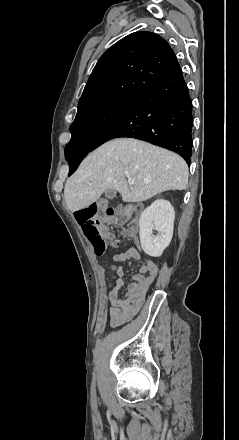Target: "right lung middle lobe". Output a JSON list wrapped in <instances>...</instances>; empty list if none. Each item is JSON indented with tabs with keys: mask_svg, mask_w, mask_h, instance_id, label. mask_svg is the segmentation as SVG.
<instances>
[{
	"mask_svg": "<svg viewBox=\"0 0 239 440\" xmlns=\"http://www.w3.org/2000/svg\"><path fill=\"white\" fill-rule=\"evenodd\" d=\"M135 97L116 96L77 112L67 150L85 152L124 113Z\"/></svg>",
	"mask_w": 239,
	"mask_h": 440,
	"instance_id": "dd1d6c3e",
	"label": "right lung middle lobe"
}]
</instances>
